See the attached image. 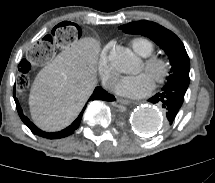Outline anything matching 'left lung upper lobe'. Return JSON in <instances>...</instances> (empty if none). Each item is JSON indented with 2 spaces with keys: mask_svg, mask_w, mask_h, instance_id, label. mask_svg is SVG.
<instances>
[{
  "mask_svg": "<svg viewBox=\"0 0 215 183\" xmlns=\"http://www.w3.org/2000/svg\"><path fill=\"white\" fill-rule=\"evenodd\" d=\"M119 29L128 34H139L153 40L165 51L172 65L167 83L179 82L189 86V57L183 43L173 32L147 20L131 22L120 26Z\"/></svg>",
  "mask_w": 215,
  "mask_h": 183,
  "instance_id": "1",
  "label": "left lung upper lobe"
}]
</instances>
